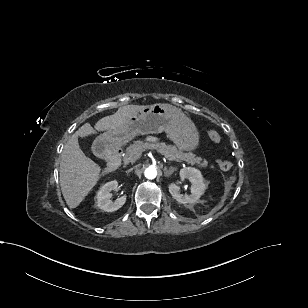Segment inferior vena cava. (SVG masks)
Here are the masks:
<instances>
[{
  "label": "inferior vena cava",
  "instance_id": "1",
  "mask_svg": "<svg viewBox=\"0 0 308 308\" xmlns=\"http://www.w3.org/2000/svg\"><path fill=\"white\" fill-rule=\"evenodd\" d=\"M133 170V168H130L129 170H127L126 172L129 173Z\"/></svg>",
  "mask_w": 308,
  "mask_h": 308
}]
</instances>
